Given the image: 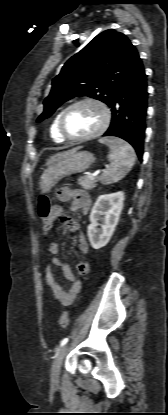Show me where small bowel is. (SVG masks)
<instances>
[{
	"label": "small bowel",
	"mask_w": 168,
	"mask_h": 415,
	"mask_svg": "<svg viewBox=\"0 0 168 415\" xmlns=\"http://www.w3.org/2000/svg\"><path fill=\"white\" fill-rule=\"evenodd\" d=\"M57 197L62 202H70L71 210L73 211L80 210L83 214H87L90 210L91 199L89 194L84 190L62 187L57 191ZM60 213L61 209L55 207L54 218ZM62 222L70 231L77 233L79 249L83 253H87L89 251L88 243L84 234L80 231L79 224L73 219L65 216L62 217ZM51 229L52 226L47 232L51 231ZM49 252L53 257L48 261L45 267L46 283L57 301L64 306L71 305L82 289V282L79 279H76L70 266L57 256L59 252V243L57 241H52L50 243ZM55 267L60 268L63 276L71 282L69 290H64L60 285L58 277L54 272ZM89 268L90 266L87 261H80L76 265V269L80 274L87 273Z\"/></svg>",
	"instance_id": "c3829d8e"
}]
</instances>
